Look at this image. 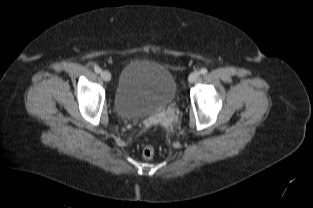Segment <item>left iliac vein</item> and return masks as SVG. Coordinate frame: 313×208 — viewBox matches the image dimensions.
Returning <instances> with one entry per match:
<instances>
[{"mask_svg": "<svg viewBox=\"0 0 313 208\" xmlns=\"http://www.w3.org/2000/svg\"><path fill=\"white\" fill-rule=\"evenodd\" d=\"M200 77V73L198 71H194L189 75V82H195Z\"/></svg>", "mask_w": 313, "mask_h": 208, "instance_id": "1", "label": "left iliac vein"}]
</instances>
